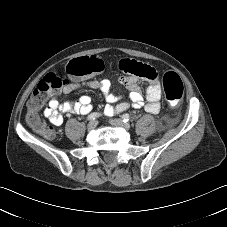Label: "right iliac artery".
Listing matches in <instances>:
<instances>
[{"instance_id":"1","label":"right iliac artery","mask_w":227,"mask_h":227,"mask_svg":"<svg viewBox=\"0 0 227 227\" xmlns=\"http://www.w3.org/2000/svg\"><path fill=\"white\" fill-rule=\"evenodd\" d=\"M100 115L101 114L97 112L91 113L90 115H88L87 120H95L96 118L100 117Z\"/></svg>"}]
</instances>
